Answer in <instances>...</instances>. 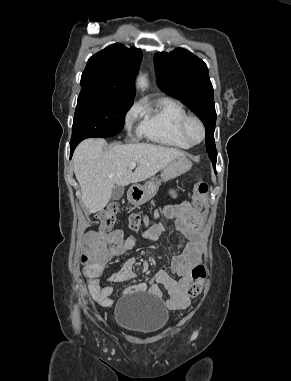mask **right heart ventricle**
Returning <instances> with one entry per match:
<instances>
[{
  "mask_svg": "<svg viewBox=\"0 0 291 381\" xmlns=\"http://www.w3.org/2000/svg\"><path fill=\"white\" fill-rule=\"evenodd\" d=\"M139 110L142 116L138 127L140 135L167 147L188 149L192 146L182 133V122L188 116L182 103L163 98Z\"/></svg>",
  "mask_w": 291,
  "mask_h": 381,
  "instance_id": "e07e8e85",
  "label": "right heart ventricle"
}]
</instances>
